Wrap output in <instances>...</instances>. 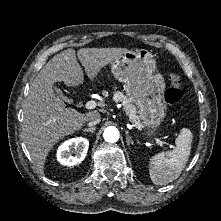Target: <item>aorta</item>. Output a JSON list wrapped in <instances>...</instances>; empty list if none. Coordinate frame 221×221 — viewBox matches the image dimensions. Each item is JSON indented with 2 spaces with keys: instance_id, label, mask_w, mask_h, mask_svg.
<instances>
[{
  "instance_id": "1",
  "label": "aorta",
  "mask_w": 221,
  "mask_h": 221,
  "mask_svg": "<svg viewBox=\"0 0 221 221\" xmlns=\"http://www.w3.org/2000/svg\"><path fill=\"white\" fill-rule=\"evenodd\" d=\"M104 140L106 142L114 143L119 139V131L116 127L110 126L104 130L103 133Z\"/></svg>"
}]
</instances>
